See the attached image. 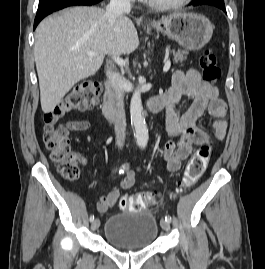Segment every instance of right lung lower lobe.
<instances>
[{"instance_id":"obj_1","label":"right lung lower lobe","mask_w":265,"mask_h":269,"mask_svg":"<svg viewBox=\"0 0 265 269\" xmlns=\"http://www.w3.org/2000/svg\"><path fill=\"white\" fill-rule=\"evenodd\" d=\"M102 0H40L34 29L38 23L50 13L72 5H94Z\"/></svg>"}]
</instances>
